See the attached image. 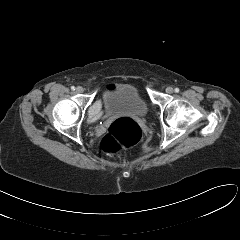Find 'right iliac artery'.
<instances>
[{
	"label": "right iliac artery",
	"mask_w": 240,
	"mask_h": 240,
	"mask_svg": "<svg viewBox=\"0 0 240 240\" xmlns=\"http://www.w3.org/2000/svg\"><path fill=\"white\" fill-rule=\"evenodd\" d=\"M71 90H75V87H74V86H72V87H71Z\"/></svg>",
	"instance_id": "82829eb1"
}]
</instances>
